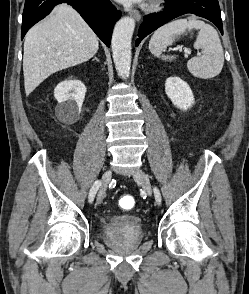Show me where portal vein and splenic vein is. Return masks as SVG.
Listing matches in <instances>:
<instances>
[{
  "label": "portal vein and splenic vein",
  "mask_w": 249,
  "mask_h": 294,
  "mask_svg": "<svg viewBox=\"0 0 249 294\" xmlns=\"http://www.w3.org/2000/svg\"><path fill=\"white\" fill-rule=\"evenodd\" d=\"M191 52L188 50H185V54H190Z\"/></svg>",
  "instance_id": "portal-vein-and-splenic-vein-1"
}]
</instances>
